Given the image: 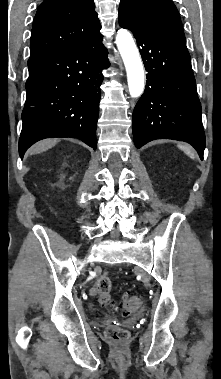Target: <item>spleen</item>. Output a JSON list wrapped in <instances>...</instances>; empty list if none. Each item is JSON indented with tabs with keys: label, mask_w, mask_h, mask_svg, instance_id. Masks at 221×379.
<instances>
[{
	"label": "spleen",
	"mask_w": 221,
	"mask_h": 379,
	"mask_svg": "<svg viewBox=\"0 0 221 379\" xmlns=\"http://www.w3.org/2000/svg\"><path fill=\"white\" fill-rule=\"evenodd\" d=\"M178 148L187 154L191 159H195L196 155L191 146L187 144H178Z\"/></svg>",
	"instance_id": "3e777b00"
}]
</instances>
